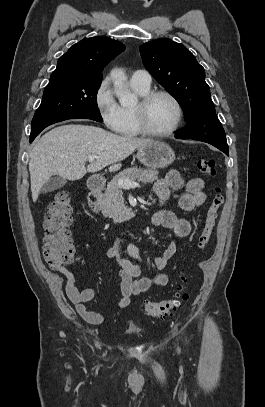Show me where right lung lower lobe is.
Here are the masks:
<instances>
[{"mask_svg": "<svg viewBox=\"0 0 265 407\" xmlns=\"http://www.w3.org/2000/svg\"><path fill=\"white\" fill-rule=\"evenodd\" d=\"M36 137V136H35ZM35 137H30V142H32L34 140Z\"/></svg>", "mask_w": 265, "mask_h": 407, "instance_id": "1", "label": "right lung lower lobe"}]
</instances>
